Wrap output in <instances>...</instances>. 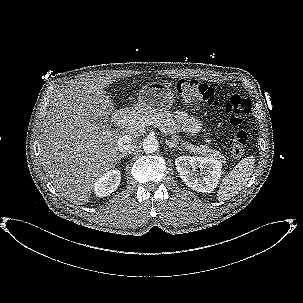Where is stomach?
<instances>
[{
	"instance_id": "stomach-1",
	"label": "stomach",
	"mask_w": 303,
	"mask_h": 303,
	"mask_svg": "<svg viewBox=\"0 0 303 303\" xmlns=\"http://www.w3.org/2000/svg\"><path fill=\"white\" fill-rule=\"evenodd\" d=\"M137 108L143 111H164L174 102V93L164 82L147 83L138 93Z\"/></svg>"
}]
</instances>
